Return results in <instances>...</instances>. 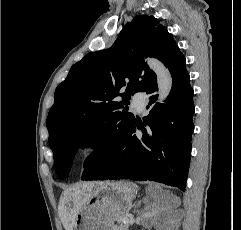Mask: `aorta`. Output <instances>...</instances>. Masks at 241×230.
Returning a JSON list of instances; mask_svg holds the SVG:
<instances>
[{"mask_svg": "<svg viewBox=\"0 0 241 230\" xmlns=\"http://www.w3.org/2000/svg\"><path fill=\"white\" fill-rule=\"evenodd\" d=\"M149 67L157 76L159 100L162 102L168 96L172 88V77L169 70L157 59L148 58Z\"/></svg>", "mask_w": 241, "mask_h": 230, "instance_id": "obj_1", "label": "aorta"}]
</instances>
